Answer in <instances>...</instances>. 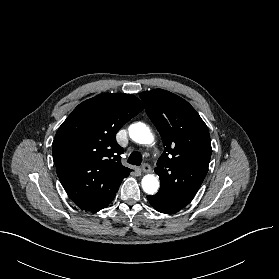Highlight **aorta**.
<instances>
[{
	"mask_svg": "<svg viewBox=\"0 0 279 279\" xmlns=\"http://www.w3.org/2000/svg\"><path fill=\"white\" fill-rule=\"evenodd\" d=\"M130 138L139 144H150L153 136L150 129L143 123H135L129 126ZM142 188L147 194H154L159 188V180L152 174H147L142 179Z\"/></svg>",
	"mask_w": 279,
	"mask_h": 279,
	"instance_id": "obj_1",
	"label": "aorta"
}]
</instances>
